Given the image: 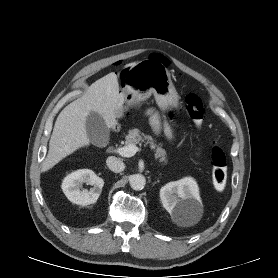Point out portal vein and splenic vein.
Segmentation results:
<instances>
[{
  "instance_id": "18ae733b",
  "label": "portal vein and splenic vein",
  "mask_w": 278,
  "mask_h": 278,
  "mask_svg": "<svg viewBox=\"0 0 278 278\" xmlns=\"http://www.w3.org/2000/svg\"><path fill=\"white\" fill-rule=\"evenodd\" d=\"M138 151H139V148L134 144H130V145L116 149V152L123 157H132Z\"/></svg>"
}]
</instances>
